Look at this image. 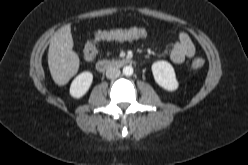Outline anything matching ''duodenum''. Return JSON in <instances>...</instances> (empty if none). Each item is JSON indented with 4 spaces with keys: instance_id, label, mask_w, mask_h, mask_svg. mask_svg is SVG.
<instances>
[{
    "instance_id": "duodenum-1",
    "label": "duodenum",
    "mask_w": 248,
    "mask_h": 165,
    "mask_svg": "<svg viewBox=\"0 0 248 165\" xmlns=\"http://www.w3.org/2000/svg\"><path fill=\"white\" fill-rule=\"evenodd\" d=\"M134 64V60L131 58H121V59H113V60H99L96 63V69L99 72H105L110 67H123V66H130Z\"/></svg>"
}]
</instances>
